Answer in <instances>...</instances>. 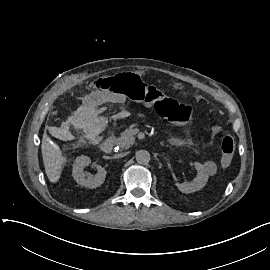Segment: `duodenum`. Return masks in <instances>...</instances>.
Segmentation results:
<instances>
[{
    "instance_id": "obj_1",
    "label": "duodenum",
    "mask_w": 270,
    "mask_h": 270,
    "mask_svg": "<svg viewBox=\"0 0 270 270\" xmlns=\"http://www.w3.org/2000/svg\"><path fill=\"white\" fill-rule=\"evenodd\" d=\"M114 147V139L112 137L105 139L101 143V150L104 153H110Z\"/></svg>"
}]
</instances>
